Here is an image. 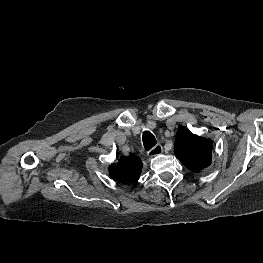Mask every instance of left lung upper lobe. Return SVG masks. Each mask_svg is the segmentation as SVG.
I'll use <instances>...</instances> for the list:
<instances>
[{
	"label": "left lung upper lobe",
	"mask_w": 263,
	"mask_h": 263,
	"mask_svg": "<svg viewBox=\"0 0 263 263\" xmlns=\"http://www.w3.org/2000/svg\"><path fill=\"white\" fill-rule=\"evenodd\" d=\"M210 139L193 134L181 127L175 137L174 153L182 164L193 172H200L212 162Z\"/></svg>",
	"instance_id": "5c2ea615"
}]
</instances>
